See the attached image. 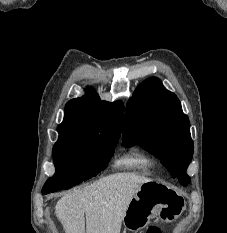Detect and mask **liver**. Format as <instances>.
Listing matches in <instances>:
<instances>
[{
	"instance_id": "6515ba94",
	"label": "liver",
	"mask_w": 227,
	"mask_h": 233,
	"mask_svg": "<svg viewBox=\"0 0 227 233\" xmlns=\"http://www.w3.org/2000/svg\"><path fill=\"white\" fill-rule=\"evenodd\" d=\"M150 181L134 173L100 178L84 188L64 194L55 206L56 216L65 233H120L135 193L142 184Z\"/></svg>"
}]
</instances>
